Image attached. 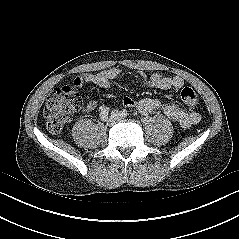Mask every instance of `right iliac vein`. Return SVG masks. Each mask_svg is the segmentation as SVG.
I'll return each mask as SVG.
<instances>
[{
	"instance_id": "right-iliac-vein-1",
	"label": "right iliac vein",
	"mask_w": 239,
	"mask_h": 239,
	"mask_svg": "<svg viewBox=\"0 0 239 239\" xmlns=\"http://www.w3.org/2000/svg\"><path fill=\"white\" fill-rule=\"evenodd\" d=\"M106 124L108 126H112L114 124V118L113 117H109L106 119Z\"/></svg>"
}]
</instances>
